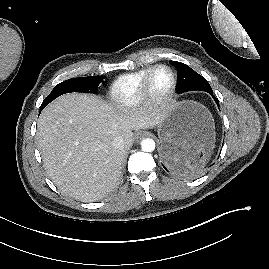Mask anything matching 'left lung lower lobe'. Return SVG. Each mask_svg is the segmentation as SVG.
<instances>
[{
  "mask_svg": "<svg viewBox=\"0 0 269 269\" xmlns=\"http://www.w3.org/2000/svg\"><path fill=\"white\" fill-rule=\"evenodd\" d=\"M212 95L215 102L219 107V102L216 97L213 96V92H209ZM163 168L168 171H175V172H184L185 170L180 166V161L182 159L181 153L179 148L176 145L168 144L165 146L163 153L161 154Z\"/></svg>",
  "mask_w": 269,
  "mask_h": 269,
  "instance_id": "left-lung-lower-lobe-1",
  "label": "left lung lower lobe"
}]
</instances>
